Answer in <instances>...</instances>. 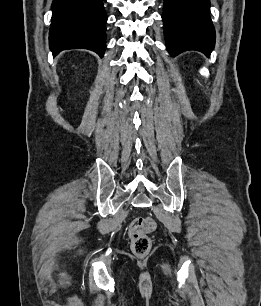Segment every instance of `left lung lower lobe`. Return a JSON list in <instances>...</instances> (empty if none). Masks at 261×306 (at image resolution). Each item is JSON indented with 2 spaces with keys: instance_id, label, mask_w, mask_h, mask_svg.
<instances>
[{
  "instance_id": "obj_1",
  "label": "left lung lower lobe",
  "mask_w": 261,
  "mask_h": 306,
  "mask_svg": "<svg viewBox=\"0 0 261 306\" xmlns=\"http://www.w3.org/2000/svg\"><path fill=\"white\" fill-rule=\"evenodd\" d=\"M210 0H164L162 20L166 47L173 56L197 50L210 56L215 29L209 17Z\"/></svg>"
}]
</instances>
